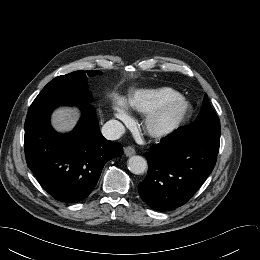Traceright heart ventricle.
Listing matches in <instances>:
<instances>
[{"label":"right heart ventricle","mask_w":260,"mask_h":260,"mask_svg":"<svg viewBox=\"0 0 260 260\" xmlns=\"http://www.w3.org/2000/svg\"><path fill=\"white\" fill-rule=\"evenodd\" d=\"M176 95H179V92L171 87L135 89L128 97V105L134 111L145 114L162 101Z\"/></svg>","instance_id":"right-heart-ventricle-1"}]
</instances>
